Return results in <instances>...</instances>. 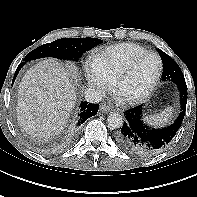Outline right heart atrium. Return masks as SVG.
I'll return each instance as SVG.
<instances>
[{"mask_svg":"<svg viewBox=\"0 0 197 197\" xmlns=\"http://www.w3.org/2000/svg\"><path fill=\"white\" fill-rule=\"evenodd\" d=\"M87 84L96 96L104 95L112 85V80L103 75L92 66L86 71Z\"/></svg>","mask_w":197,"mask_h":197,"instance_id":"obj_1","label":"right heart atrium"}]
</instances>
